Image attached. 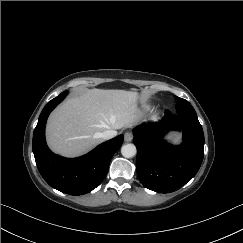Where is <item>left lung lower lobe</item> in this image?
<instances>
[{
  "mask_svg": "<svg viewBox=\"0 0 243 243\" xmlns=\"http://www.w3.org/2000/svg\"><path fill=\"white\" fill-rule=\"evenodd\" d=\"M170 130L182 131L181 145L174 146L163 139ZM133 133L137 175L146 188L159 193L176 191L199 170L204 134L197 117L166 111L161 121L142 124Z\"/></svg>",
  "mask_w": 243,
  "mask_h": 243,
  "instance_id": "1",
  "label": "left lung lower lobe"
}]
</instances>
